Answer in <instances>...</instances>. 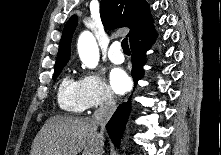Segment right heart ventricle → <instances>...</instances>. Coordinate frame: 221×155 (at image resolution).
Masks as SVG:
<instances>
[{"mask_svg":"<svg viewBox=\"0 0 221 155\" xmlns=\"http://www.w3.org/2000/svg\"><path fill=\"white\" fill-rule=\"evenodd\" d=\"M57 100L59 106L70 113H81L86 109L81 95L80 81L70 75H66L60 82Z\"/></svg>","mask_w":221,"mask_h":155,"instance_id":"1","label":"right heart ventricle"}]
</instances>
